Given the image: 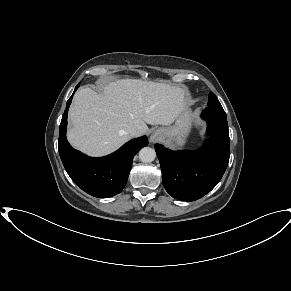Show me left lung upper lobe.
I'll list each match as a JSON object with an SVG mask.
<instances>
[{
  "label": "left lung upper lobe",
  "mask_w": 291,
  "mask_h": 291,
  "mask_svg": "<svg viewBox=\"0 0 291 291\" xmlns=\"http://www.w3.org/2000/svg\"><path fill=\"white\" fill-rule=\"evenodd\" d=\"M208 98V108L222 109V106L214 93L210 92Z\"/></svg>",
  "instance_id": "left-lung-upper-lobe-1"
}]
</instances>
